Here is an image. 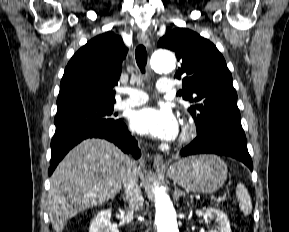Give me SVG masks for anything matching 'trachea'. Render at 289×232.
<instances>
[{
	"mask_svg": "<svg viewBox=\"0 0 289 232\" xmlns=\"http://www.w3.org/2000/svg\"><path fill=\"white\" fill-rule=\"evenodd\" d=\"M135 58L139 69L142 74H145V68L147 64V51L144 45H139L135 51Z\"/></svg>",
	"mask_w": 289,
	"mask_h": 232,
	"instance_id": "trachea-1",
	"label": "trachea"
}]
</instances>
